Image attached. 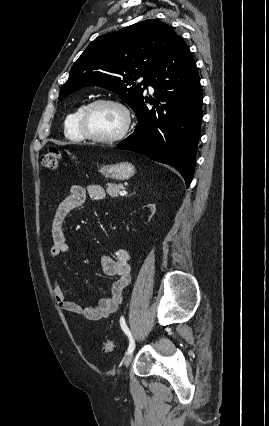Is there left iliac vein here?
Segmentation results:
<instances>
[{
    "instance_id": "4c4485c4",
    "label": "left iliac vein",
    "mask_w": 269,
    "mask_h": 426,
    "mask_svg": "<svg viewBox=\"0 0 269 426\" xmlns=\"http://www.w3.org/2000/svg\"><path fill=\"white\" fill-rule=\"evenodd\" d=\"M132 358H133V353L132 352L129 353V354H127V356L125 357V359H124V366L126 368H128V366L130 365V363L132 361Z\"/></svg>"
}]
</instances>
